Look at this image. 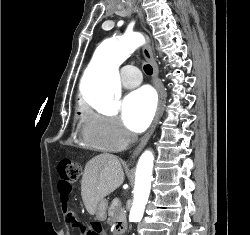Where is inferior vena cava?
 I'll return each mask as SVG.
<instances>
[{
    "mask_svg": "<svg viewBox=\"0 0 250 235\" xmlns=\"http://www.w3.org/2000/svg\"><path fill=\"white\" fill-rule=\"evenodd\" d=\"M132 140H136V136L135 135H131Z\"/></svg>",
    "mask_w": 250,
    "mask_h": 235,
    "instance_id": "602c4592",
    "label": "inferior vena cava"
}]
</instances>
